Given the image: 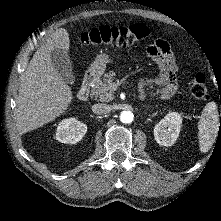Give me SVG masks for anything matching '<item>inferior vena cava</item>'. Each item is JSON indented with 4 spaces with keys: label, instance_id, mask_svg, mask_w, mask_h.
<instances>
[{
    "label": "inferior vena cava",
    "instance_id": "inferior-vena-cava-1",
    "mask_svg": "<svg viewBox=\"0 0 221 221\" xmlns=\"http://www.w3.org/2000/svg\"><path fill=\"white\" fill-rule=\"evenodd\" d=\"M92 111L95 114L103 115L109 113L111 111V108L107 104L97 103L92 106Z\"/></svg>",
    "mask_w": 221,
    "mask_h": 221
}]
</instances>
